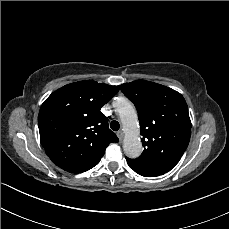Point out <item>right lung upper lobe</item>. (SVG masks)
<instances>
[{"label": "right lung upper lobe", "instance_id": "cb5924a9", "mask_svg": "<svg viewBox=\"0 0 229 229\" xmlns=\"http://www.w3.org/2000/svg\"><path fill=\"white\" fill-rule=\"evenodd\" d=\"M119 91L117 86L84 80L65 85L42 104L40 140L51 161L71 173L99 163L111 142H118L100 111Z\"/></svg>", "mask_w": 229, "mask_h": 229}]
</instances>
